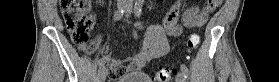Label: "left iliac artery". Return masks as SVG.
I'll use <instances>...</instances> for the list:
<instances>
[{"mask_svg": "<svg viewBox=\"0 0 279 82\" xmlns=\"http://www.w3.org/2000/svg\"><path fill=\"white\" fill-rule=\"evenodd\" d=\"M142 6H143V0H136L135 2V6H134V11L136 16H140L142 13ZM181 71L184 74V77L187 79L189 77V72H188V68L182 64L181 65Z\"/></svg>", "mask_w": 279, "mask_h": 82, "instance_id": "44dca946", "label": "left iliac artery"}]
</instances>
